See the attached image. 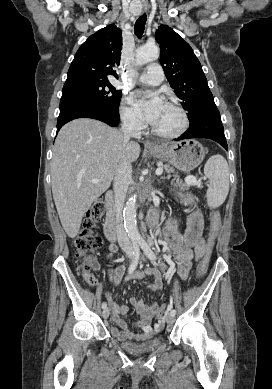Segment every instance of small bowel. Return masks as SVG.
<instances>
[{
  "instance_id": "c3829d8e",
  "label": "small bowel",
  "mask_w": 272,
  "mask_h": 389,
  "mask_svg": "<svg viewBox=\"0 0 272 389\" xmlns=\"http://www.w3.org/2000/svg\"><path fill=\"white\" fill-rule=\"evenodd\" d=\"M179 198L183 204L188 206L189 210L185 231L180 233L172 223H169L165 228L164 238L167 245V258H174L177 261L179 277L187 279L193 259L198 261L205 251V240L203 238L204 222L202 213L196 207L194 199L190 195L180 194ZM111 251L112 253L116 251L115 246H112ZM90 265L92 269L99 270V264L96 260H92ZM164 269L165 266L161 264L160 268H148L145 271L136 272L134 277L142 279L145 276H151L153 283L150 286V290L153 292L161 291L163 288ZM123 274L124 266L121 265L109 270V279L113 285H118ZM130 304L140 316L137 322L140 331H132L127 321L121 317L127 313L128 308L111 301L113 321L119 327H112L110 330L111 334L118 340L142 341L152 337L155 330L160 327L152 324V319L158 310V304H145L142 300L135 297L130 298Z\"/></svg>"
}]
</instances>
